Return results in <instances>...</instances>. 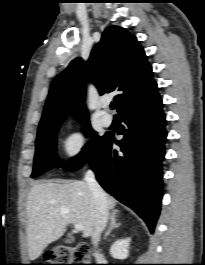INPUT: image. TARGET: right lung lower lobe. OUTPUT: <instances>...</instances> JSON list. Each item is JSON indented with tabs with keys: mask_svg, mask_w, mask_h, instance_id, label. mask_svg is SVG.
<instances>
[{
	"mask_svg": "<svg viewBox=\"0 0 205 265\" xmlns=\"http://www.w3.org/2000/svg\"><path fill=\"white\" fill-rule=\"evenodd\" d=\"M122 140L106 134L89 164L97 181L120 202L132 208L151 233L159 216L166 140L162 99L156 91L145 102L119 114ZM121 149L117 151L115 146Z\"/></svg>",
	"mask_w": 205,
	"mask_h": 265,
	"instance_id": "98d812e1",
	"label": "right lung lower lobe"
}]
</instances>
